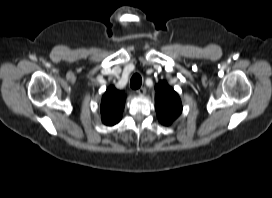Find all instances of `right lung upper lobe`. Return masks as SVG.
<instances>
[{"label":"right lung upper lobe","mask_w":272,"mask_h":198,"mask_svg":"<svg viewBox=\"0 0 272 198\" xmlns=\"http://www.w3.org/2000/svg\"><path fill=\"white\" fill-rule=\"evenodd\" d=\"M124 103L123 92L116 90L113 86L109 87L101 101L102 122L108 126L118 123L122 117Z\"/></svg>","instance_id":"obj_1"}]
</instances>
